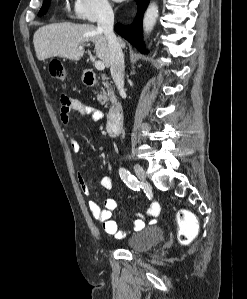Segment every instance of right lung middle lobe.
Segmentation results:
<instances>
[{"mask_svg": "<svg viewBox=\"0 0 247 299\" xmlns=\"http://www.w3.org/2000/svg\"><path fill=\"white\" fill-rule=\"evenodd\" d=\"M50 1L51 0H44L43 6L38 13L39 16H42L47 12L49 5H50Z\"/></svg>", "mask_w": 247, "mask_h": 299, "instance_id": "right-lung-middle-lobe-1", "label": "right lung middle lobe"}]
</instances>
